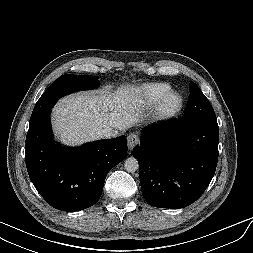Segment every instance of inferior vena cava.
I'll return each instance as SVG.
<instances>
[{"label":"inferior vena cava","mask_w":253,"mask_h":253,"mask_svg":"<svg viewBox=\"0 0 253 253\" xmlns=\"http://www.w3.org/2000/svg\"><path fill=\"white\" fill-rule=\"evenodd\" d=\"M100 138H111L116 135V133L111 128H104L97 132Z\"/></svg>","instance_id":"obj_1"}]
</instances>
